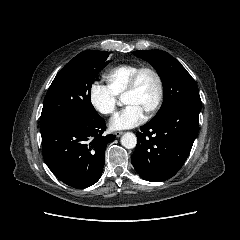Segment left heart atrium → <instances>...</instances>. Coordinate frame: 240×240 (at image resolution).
Instances as JSON below:
<instances>
[{"label": "left heart atrium", "instance_id": "1", "mask_svg": "<svg viewBox=\"0 0 240 240\" xmlns=\"http://www.w3.org/2000/svg\"><path fill=\"white\" fill-rule=\"evenodd\" d=\"M144 120L143 111L135 105L128 104L110 120L113 130L133 128Z\"/></svg>", "mask_w": 240, "mask_h": 240}]
</instances>
